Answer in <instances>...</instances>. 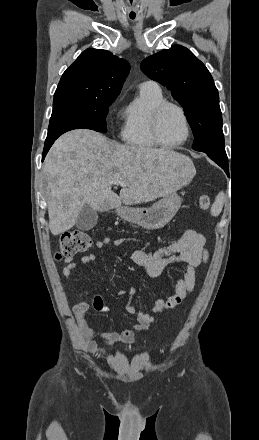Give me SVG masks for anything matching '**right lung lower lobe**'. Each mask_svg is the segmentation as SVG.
Returning <instances> with one entry per match:
<instances>
[{"instance_id":"right-lung-lower-lobe-1","label":"right lung lower lobe","mask_w":259,"mask_h":440,"mask_svg":"<svg viewBox=\"0 0 259 440\" xmlns=\"http://www.w3.org/2000/svg\"><path fill=\"white\" fill-rule=\"evenodd\" d=\"M58 137L52 138L50 140H46L45 141V146H44V150H43V155H42V161L44 160L47 152L49 151L50 147L52 146V144L54 143V141L57 139Z\"/></svg>"}]
</instances>
